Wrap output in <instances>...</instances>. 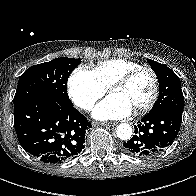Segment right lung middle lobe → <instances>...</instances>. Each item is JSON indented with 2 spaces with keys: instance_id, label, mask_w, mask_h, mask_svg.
I'll return each mask as SVG.
<instances>
[{
  "instance_id": "right-lung-middle-lobe-1",
  "label": "right lung middle lobe",
  "mask_w": 196,
  "mask_h": 196,
  "mask_svg": "<svg viewBox=\"0 0 196 196\" xmlns=\"http://www.w3.org/2000/svg\"><path fill=\"white\" fill-rule=\"evenodd\" d=\"M80 63V59L63 57L28 68L19 78L14 105L35 97H50L73 105L66 86L70 73Z\"/></svg>"
}]
</instances>
